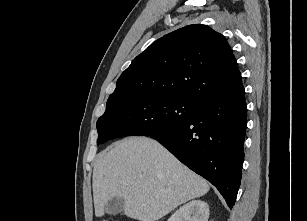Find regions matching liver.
<instances>
[{
	"label": "liver",
	"mask_w": 307,
	"mask_h": 221,
	"mask_svg": "<svg viewBox=\"0 0 307 221\" xmlns=\"http://www.w3.org/2000/svg\"><path fill=\"white\" fill-rule=\"evenodd\" d=\"M92 186L96 217L118 197L124 199V214L139 221H157L210 189L206 180L147 137H129L103 151L94 165Z\"/></svg>",
	"instance_id": "6515ba94"
}]
</instances>
